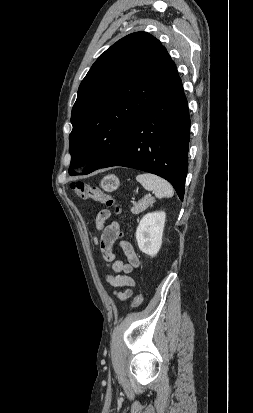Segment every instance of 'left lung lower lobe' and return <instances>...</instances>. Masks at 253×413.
<instances>
[{
    "instance_id": "obj_1",
    "label": "left lung lower lobe",
    "mask_w": 253,
    "mask_h": 413,
    "mask_svg": "<svg viewBox=\"0 0 253 413\" xmlns=\"http://www.w3.org/2000/svg\"><path fill=\"white\" fill-rule=\"evenodd\" d=\"M189 139L188 103L176 70L121 146L99 168L124 166L156 174L169 181L182 200Z\"/></svg>"
}]
</instances>
